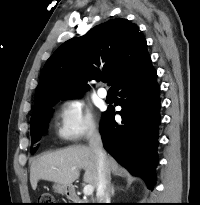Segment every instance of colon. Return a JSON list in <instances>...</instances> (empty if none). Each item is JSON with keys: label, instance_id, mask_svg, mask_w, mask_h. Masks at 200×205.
Wrapping results in <instances>:
<instances>
[{"label": "colon", "instance_id": "1", "mask_svg": "<svg viewBox=\"0 0 200 205\" xmlns=\"http://www.w3.org/2000/svg\"><path fill=\"white\" fill-rule=\"evenodd\" d=\"M38 205H54V198L51 194H42L38 199Z\"/></svg>", "mask_w": 200, "mask_h": 205}]
</instances>
